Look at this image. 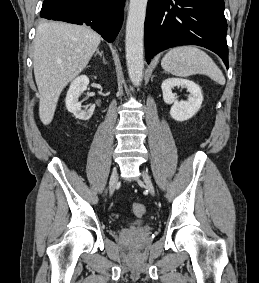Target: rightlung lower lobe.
<instances>
[{
  "instance_id": "right-lung-lower-lobe-1",
  "label": "right lung lower lobe",
  "mask_w": 259,
  "mask_h": 283,
  "mask_svg": "<svg viewBox=\"0 0 259 283\" xmlns=\"http://www.w3.org/2000/svg\"><path fill=\"white\" fill-rule=\"evenodd\" d=\"M125 0H44L40 16L49 20L89 25L112 42L123 22Z\"/></svg>"
}]
</instances>
